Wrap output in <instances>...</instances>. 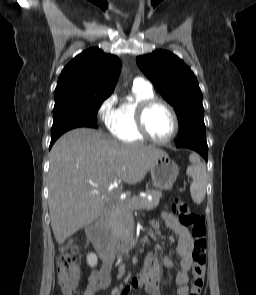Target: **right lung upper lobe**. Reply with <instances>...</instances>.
I'll list each match as a JSON object with an SVG mask.
<instances>
[{
  "instance_id": "1",
  "label": "right lung upper lobe",
  "mask_w": 256,
  "mask_h": 295,
  "mask_svg": "<svg viewBox=\"0 0 256 295\" xmlns=\"http://www.w3.org/2000/svg\"><path fill=\"white\" fill-rule=\"evenodd\" d=\"M121 70L117 56L90 48L77 55L62 70L55 89V103L107 98Z\"/></svg>"
}]
</instances>
